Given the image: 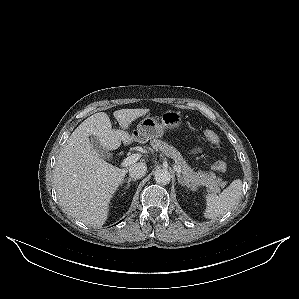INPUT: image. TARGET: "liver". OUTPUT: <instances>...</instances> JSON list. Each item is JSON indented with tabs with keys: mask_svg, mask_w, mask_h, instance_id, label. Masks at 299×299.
Wrapping results in <instances>:
<instances>
[{
	"mask_svg": "<svg viewBox=\"0 0 299 299\" xmlns=\"http://www.w3.org/2000/svg\"><path fill=\"white\" fill-rule=\"evenodd\" d=\"M149 109H121L113 113L122 130L112 128L108 115L98 112L84 120L63 145L53 172L55 189L62 210L93 227H101L108 218L109 203L124 180L127 169L114 167L92 149L94 135L106 150H116L121 142L136 139L126 130Z\"/></svg>",
	"mask_w": 299,
	"mask_h": 299,
	"instance_id": "1",
	"label": "liver"
}]
</instances>
